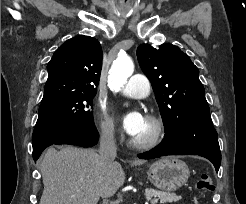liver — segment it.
<instances>
[{
  "label": "liver",
  "mask_w": 246,
  "mask_h": 204,
  "mask_svg": "<svg viewBox=\"0 0 246 204\" xmlns=\"http://www.w3.org/2000/svg\"><path fill=\"white\" fill-rule=\"evenodd\" d=\"M40 171L44 190L39 204H97L100 197H112L126 178L120 163L105 165L94 150L71 146L49 148Z\"/></svg>",
  "instance_id": "1"
}]
</instances>
